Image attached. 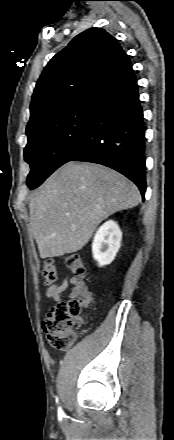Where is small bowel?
Segmentation results:
<instances>
[{
    "label": "small bowel",
    "instance_id": "c3829d8e",
    "mask_svg": "<svg viewBox=\"0 0 174 440\" xmlns=\"http://www.w3.org/2000/svg\"><path fill=\"white\" fill-rule=\"evenodd\" d=\"M46 297L57 303L81 297L83 298V306L87 307L91 300V293L84 281L75 276H67L62 282L50 286L46 290Z\"/></svg>",
    "mask_w": 174,
    "mask_h": 440
}]
</instances>
